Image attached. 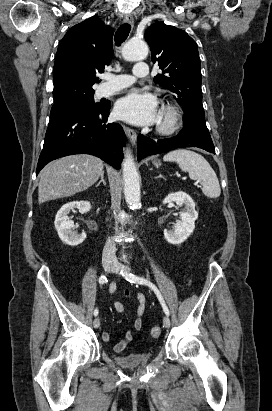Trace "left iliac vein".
<instances>
[{"instance_id":"1","label":"left iliac vein","mask_w":272,"mask_h":411,"mask_svg":"<svg viewBox=\"0 0 272 411\" xmlns=\"http://www.w3.org/2000/svg\"><path fill=\"white\" fill-rule=\"evenodd\" d=\"M121 271L128 272V271H130V269L128 267H124V266L119 265L117 262H113L112 272L116 273V274H120ZM170 324H171L170 318L168 316H165L163 318V325L166 328H169Z\"/></svg>"}]
</instances>
